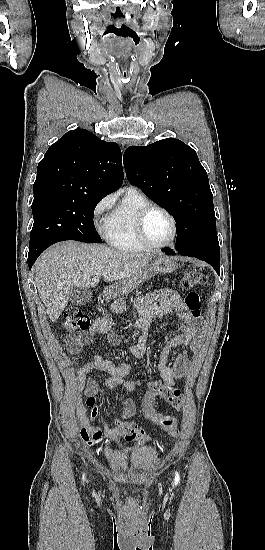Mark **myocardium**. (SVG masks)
<instances>
[{
  "instance_id": "myocardium-1",
  "label": "myocardium",
  "mask_w": 265,
  "mask_h": 550,
  "mask_svg": "<svg viewBox=\"0 0 265 550\" xmlns=\"http://www.w3.org/2000/svg\"><path fill=\"white\" fill-rule=\"evenodd\" d=\"M155 210L161 211L164 214H166L167 217L171 221L172 235H171L170 239L166 243H163V244H153V243H151L149 241L147 235H146V230H145L146 219H147L148 215L152 211H155ZM135 231H136V235H137V238H138L139 242L146 249L160 250V249H164V248H167V247L171 246L175 242V240L177 238V234H178V226H177L176 218L174 217V215L167 208H165L161 205L151 203V204L145 206L143 209H141V211L138 213L136 221H135Z\"/></svg>"
}]
</instances>
